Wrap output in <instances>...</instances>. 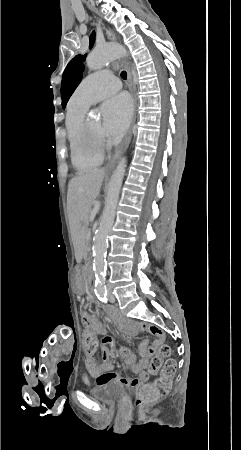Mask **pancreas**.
I'll return each mask as SVG.
<instances>
[{
    "label": "pancreas",
    "mask_w": 241,
    "mask_h": 450,
    "mask_svg": "<svg viewBox=\"0 0 241 450\" xmlns=\"http://www.w3.org/2000/svg\"><path fill=\"white\" fill-rule=\"evenodd\" d=\"M87 231H90V230H85V238H86V240H88V234H87Z\"/></svg>",
    "instance_id": "obj_1"
}]
</instances>
